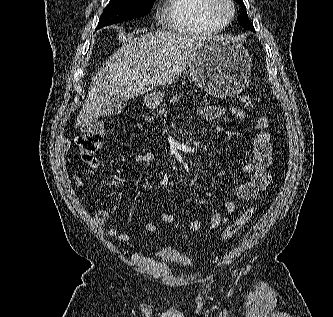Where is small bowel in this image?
<instances>
[{
  "mask_svg": "<svg viewBox=\"0 0 333 317\" xmlns=\"http://www.w3.org/2000/svg\"><path fill=\"white\" fill-rule=\"evenodd\" d=\"M199 116L206 120H214L219 118L227 111L220 106L200 105L196 107ZM229 112L235 118L244 120L246 115L244 111L238 107L230 108ZM273 148L270 142L269 121L266 117H259L255 124V136L252 145V154L249 161L244 165L243 172L249 176V180L236 185L235 195L240 200H253L258 194L264 191L271 182V173L269 168L273 162ZM156 154L153 150L140 152L133 155L132 160L138 164H150L154 162ZM98 160L94 159L92 165L96 167ZM71 178L78 189H84L85 185L78 175L71 174ZM209 195H212L209 193ZM222 210L226 214L222 213ZM238 204L233 200H223L221 206L217 209L209 222V228L214 230L221 225L226 224L231 216L237 212ZM94 220L98 225H104L109 220V212L105 209H95L93 214ZM159 219L167 224L172 225L176 219L172 214L161 213ZM146 232L153 233L156 226L151 221L144 224ZM202 228V221L195 219L188 225V232L195 233ZM108 236L119 242H126L131 239V235L126 232H119L116 227H110L107 231Z\"/></svg>",
  "mask_w": 333,
  "mask_h": 317,
  "instance_id": "1",
  "label": "small bowel"
}]
</instances>
